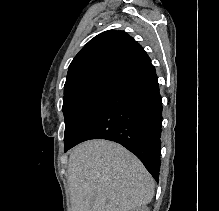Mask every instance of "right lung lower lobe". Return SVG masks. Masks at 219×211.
<instances>
[{
  "label": "right lung lower lobe",
  "mask_w": 219,
  "mask_h": 211,
  "mask_svg": "<svg viewBox=\"0 0 219 211\" xmlns=\"http://www.w3.org/2000/svg\"><path fill=\"white\" fill-rule=\"evenodd\" d=\"M161 126L162 98L150 63L109 92L71 148L90 139L117 142L134 153L158 181Z\"/></svg>",
  "instance_id": "1"
}]
</instances>
